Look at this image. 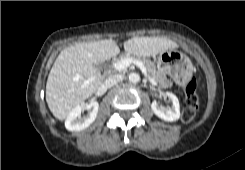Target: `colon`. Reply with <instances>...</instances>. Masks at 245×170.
<instances>
[{
  "label": "colon",
  "instance_id": "colon-1",
  "mask_svg": "<svg viewBox=\"0 0 245 170\" xmlns=\"http://www.w3.org/2000/svg\"><path fill=\"white\" fill-rule=\"evenodd\" d=\"M191 69L192 65L186 58L182 59V64L177 69L179 77L177 87L185 93L186 107L182 115V120L185 123H188L193 119L199 108V99L196 94L195 82L192 78H185Z\"/></svg>",
  "mask_w": 245,
  "mask_h": 170
}]
</instances>
